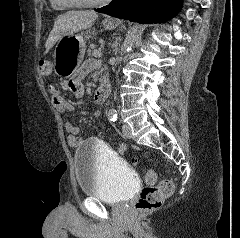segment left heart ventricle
<instances>
[{"label":"left heart ventricle","mask_w":240,"mask_h":238,"mask_svg":"<svg viewBox=\"0 0 240 238\" xmlns=\"http://www.w3.org/2000/svg\"><path fill=\"white\" fill-rule=\"evenodd\" d=\"M68 1H75V2H82V3H91V2L98 1V0H68Z\"/></svg>","instance_id":"obj_1"}]
</instances>
